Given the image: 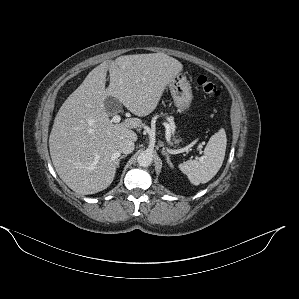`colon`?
<instances>
[{"label": "colon", "instance_id": "5ec220e1", "mask_svg": "<svg viewBox=\"0 0 299 299\" xmlns=\"http://www.w3.org/2000/svg\"><path fill=\"white\" fill-rule=\"evenodd\" d=\"M197 84L203 93L215 98L220 96V91L217 89L215 84L212 83L207 77L199 76L197 78Z\"/></svg>", "mask_w": 299, "mask_h": 299}]
</instances>
